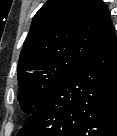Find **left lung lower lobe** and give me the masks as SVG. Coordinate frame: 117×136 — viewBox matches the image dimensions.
I'll return each instance as SVG.
<instances>
[{
    "mask_svg": "<svg viewBox=\"0 0 117 136\" xmlns=\"http://www.w3.org/2000/svg\"><path fill=\"white\" fill-rule=\"evenodd\" d=\"M17 136H117L114 30L40 103Z\"/></svg>",
    "mask_w": 117,
    "mask_h": 136,
    "instance_id": "0a47b994",
    "label": "left lung lower lobe"
}]
</instances>
